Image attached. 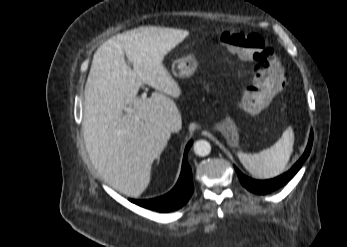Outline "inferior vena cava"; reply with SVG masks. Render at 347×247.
Returning <instances> with one entry per match:
<instances>
[{
    "label": "inferior vena cava",
    "mask_w": 347,
    "mask_h": 247,
    "mask_svg": "<svg viewBox=\"0 0 347 247\" xmlns=\"http://www.w3.org/2000/svg\"><path fill=\"white\" fill-rule=\"evenodd\" d=\"M165 128L168 129L169 131H172L174 129L173 123L171 122L166 123Z\"/></svg>",
    "instance_id": "602c4592"
}]
</instances>
